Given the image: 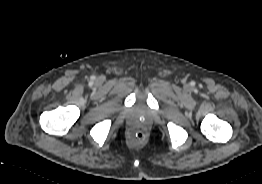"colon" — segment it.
<instances>
[{"label":"colon","mask_w":262,"mask_h":184,"mask_svg":"<svg viewBox=\"0 0 262 184\" xmlns=\"http://www.w3.org/2000/svg\"><path fill=\"white\" fill-rule=\"evenodd\" d=\"M146 139V133L141 126H136L131 132V140L134 143H143Z\"/></svg>","instance_id":"obj_1"}]
</instances>
